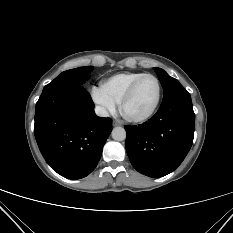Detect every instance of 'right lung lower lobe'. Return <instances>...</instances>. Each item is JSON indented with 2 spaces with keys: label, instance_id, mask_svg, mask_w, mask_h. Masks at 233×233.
Instances as JSON below:
<instances>
[{
  "label": "right lung lower lobe",
  "instance_id": "right-lung-lower-lobe-1",
  "mask_svg": "<svg viewBox=\"0 0 233 233\" xmlns=\"http://www.w3.org/2000/svg\"><path fill=\"white\" fill-rule=\"evenodd\" d=\"M112 120L98 117L80 85L43 90L35 112L34 134L49 166L68 179L89 175L111 133Z\"/></svg>",
  "mask_w": 233,
  "mask_h": 233
}]
</instances>
